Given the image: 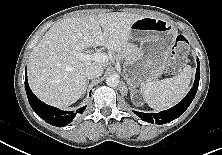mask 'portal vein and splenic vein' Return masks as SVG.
<instances>
[{
	"label": "portal vein and splenic vein",
	"instance_id": "18ae733b",
	"mask_svg": "<svg viewBox=\"0 0 222 155\" xmlns=\"http://www.w3.org/2000/svg\"><path fill=\"white\" fill-rule=\"evenodd\" d=\"M78 57L81 60H93L95 62H100V63H105V62H108L109 60L108 55L100 53V52H96L92 54L81 53L78 55Z\"/></svg>",
	"mask_w": 222,
	"mask_h": 155
}]
</instances>
